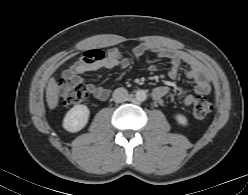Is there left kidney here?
I'll return each instance as SVG.
<instances>
[{
  "instance_id": "1",
  "label": "left kidney",
  "mask_w": 248,
  "mask_h": 195,
  "mask_svg": "<svg viewBox=\"0 0 248 195\" xmlns=\"http://www.w3.org/2000/svg\"><path fill=\"white\" fill-rule=\"evenodd\" d=\"M175 119L180 125L186 126L188 124V120L183 114H176Z\"/></svg>"
}]
</instances>
